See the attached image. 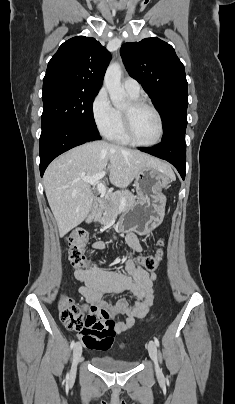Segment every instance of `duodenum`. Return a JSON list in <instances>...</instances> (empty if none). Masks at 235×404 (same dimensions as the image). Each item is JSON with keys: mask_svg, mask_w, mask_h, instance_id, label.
<instances>
[{"mask_svg": "<svg viewBox=\"0 0 235 404\" xmlns=\"http://www.w3.org/2000/svg\"><path fill=\"white\" fill-rule=\"evenodd\" d=\"M106 204H107V201L104 198H99L95 202L96 208H98L101 211H104L106 209ZM88 220L91 221L92 217H89Z\"/></svg>", "mask_w": 235, "mask_h": 404, "instance_id": "obj_1", "label": "duodenum"}]
</instances>
